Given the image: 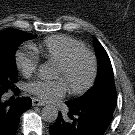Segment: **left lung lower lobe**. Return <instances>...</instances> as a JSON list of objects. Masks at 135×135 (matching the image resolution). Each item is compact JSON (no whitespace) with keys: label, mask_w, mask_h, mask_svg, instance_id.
Listing matches in <instances>:
<instances>
[{"label":"left lung lower lobe","mask_w":135,"mask_h":135,"mask_svg":"<svg viewBox=\"0 0 135 135\" xmlns=\"http://www.w3.org/2000/svg\"><path fill=\"white\" fill-rule=\"evenodd\" d=\"M67 121L59 113L54 125L50 126L51 135H103L107 130L116 106L112 103H97L74 106L68 102Z\"/></svg>","instance_id":"left-lung-lower-lobe-1"}]
</instances>
